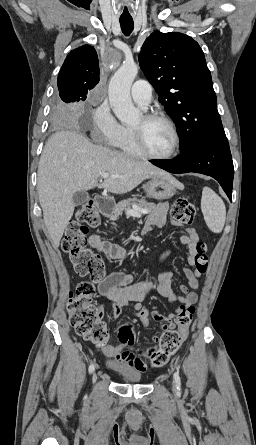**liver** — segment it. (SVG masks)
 <instances>
[{"instance_id":"obj_1","label":"liver","mask_w":256,"mask_h":445,"mask_svg":"<svg viewBox=\"0 0 256 445\" xmlns=\"http://www.w3.org/2000/svg\"><path fill=\"white\" fill-rule=\"evenodd\" d=\"M103 173L110 177L98 184L97 179ZM153 176L170 175L147 162L94 145L76 131L54 133L41 154L37 179L44 223L54 246H59L72 218L75 207L72 198L77 191L98 187L125 194ZM176 186L182 187L177 181Z\"/></svg>"}]
</instances>
